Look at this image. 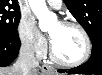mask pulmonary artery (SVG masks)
<instances>
[{
    "label": "pulmonary artery",
    "mask_w": 102,
    "mask_h": 75,
    "mask_svg": "<svg viewBox=\"0 0 102 75\" xmlns=\"http://www.w3.org/2000/svg\"><path fill=\"white\" fill-rule=\"evenodd\" d=\"M47 2L50 4V6L56 8V9L61 8V6L63 4L62 0H48Z\"/></svg>",
    "instance_id": "pulmonary-artery-1"
}]
</instances>
